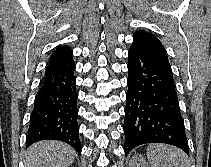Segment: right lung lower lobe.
<instances>
[{"label":"right lung lower lobe","instance_id":"right-lung-lower-lobe-1","mask_svg":"<svg viewBox=\"0 0 211 167\" xmlns=\"http://www.w3.org/2000/svg\"><path fill=\"white\" fill-rule=\"evenodd\" d=\"M75 68L72 56L46 67L35 96L26 147L41 140H60L81 154Z\"/></svg>","mask_w":211,"mask_h":167}]
</instances>
